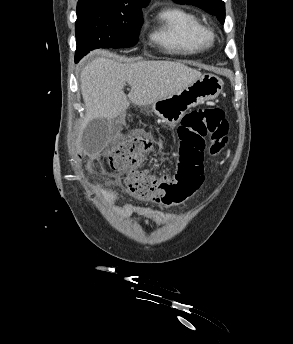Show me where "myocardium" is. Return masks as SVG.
Returning a JSON list of instances; mask_svg holds the SVG:
<instances>
[{"instance_id": "1", "label": "myocardium", "mask_w": 293, "mask_h": 344, "mask_svg": "<svg viewBox=\"0 0 293 344\" xmlns=\"http://www.w3.org/2000/svg\"><path fill=\"white\" fill-rule=\"evenodd\" d=\"M206 34L209 40H212L214 38L213 30L206 28Z\"/></svg>"}]
</instances>
